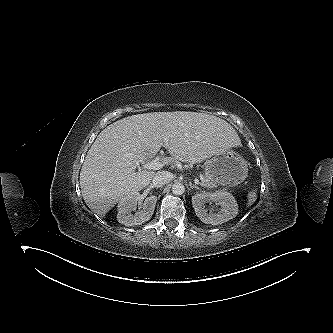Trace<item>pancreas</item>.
<instances>
[{"mask_svg":"<svg viewBox=\"0 0 333 333\" xmlns=\"http://www.w3.org/2000/svg\"><path fill=\"white\" fill-rule=\"evenodd\" d=\"M200 185L203 186L204 188H213L216 186L211 180L206 178L205 176L202 177Z\"/></svg>","mask_w":333,"mask_h":333,"instance_id":"obj_1","label":"pancreas"}]
</instances>
